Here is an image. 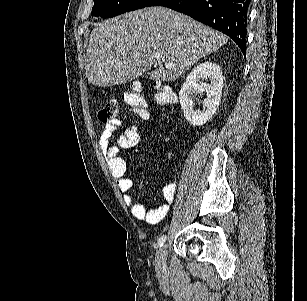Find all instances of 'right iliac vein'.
<instances>
[{"mask_svg":"<svg viewBox=\"0 0 307 301\" xmlns=\"http://www.w3.org/2000/svg\"><path fill=\"white\" fill-rule=\"evenodd\" d=\"M166 257H167V245L163 244L159 247L155 259V267L158 271H162L166 268Z\"/></svg>","mask_w":307,"mask_h":301,"instance_id":"obj_1","label":"right iliac vein"}]
</instances>
